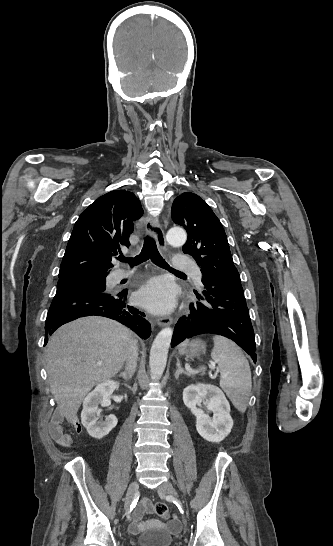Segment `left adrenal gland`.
I'll use <instances>...</instances> for the list:
<instances>
[{
	"instance_id": "1",
	"label": "left adrenal gland",
	"mask_w": 333,
	"mask_h": 546,
	"mask_svg": "<svg viewBox=\"0 0 333 546\" xmlns=\"http://www.w3.org/2000/svg\"><path fill=\"white\" fill-rule=\"evenodd\" d=\"M177 369H176V372H175V378L178 379L180 374H186L187 376H191L188 372H185L183 368H181V365H180V362L177 361Z\"/></svg>"
}]
</instances>
